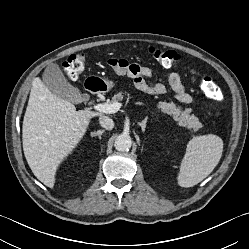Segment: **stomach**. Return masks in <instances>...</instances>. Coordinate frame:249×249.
Listing matches in <instances>:
<instances>
[{"instance_id":"stomach-1","label":"stomach","mask_w":249,"mask_h":249,"mask_svg":"<svg viewBox=\"0 0 249 249\" xmlns=\"http://www.w3.org/2000/svg\"><path fill=\"white\" fill-rule=\"evenodd\" d=\"M100 84L102 86V91H109L114 87V82L109 79L99 78Z\"/></svg>"}]
</instances>
